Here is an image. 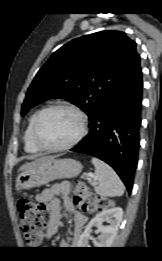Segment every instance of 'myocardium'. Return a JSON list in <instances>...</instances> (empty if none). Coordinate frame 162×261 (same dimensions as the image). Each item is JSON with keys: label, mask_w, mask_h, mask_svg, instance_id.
<instances>
[{"label": "myocardium", "mask_w": 162, "mask_h": 261, "mask_svg": "<svg viewBox=\"0 0 162 261\" xmlns=\"http://www.w3.org/2000/svg\"><path fill=\"white\" fill-rule=\"evenodd\" d=\"M56 109H65V110H68V111H71L72 113H74L78 117V120H79V131L76 134V136L69 142L62 144V145H58V146H49V145L44 144L41 141V139L39 137V127H40L43 117L48 112H50L52 110H56ZM87 125H88L87 116L78 107H76L72 104H69V103H64V102L54 103V104H51V105L43 108L37 114L35 122H34V126H33V132H32L33 141L39 149L44 150V151L58 152V151L67 150V149H70V148L74 147L75 145H77L85 137V135L87 133Z\"/></svg>", "instance_id": "1"}]
</instances>
